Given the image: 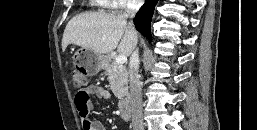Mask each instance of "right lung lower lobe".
<instances>
[{
	"mask_svg": "<svg viewBox=\"0 0 257 130\" xmlns=\"http://www.w3.org/2000/svg\"><path fill=\"white\" fill-rule=\"evenodd\" d=\"M158 0H148L137 13L134 23L138 31L151 41L150 23Z\"/></svg>",
	"mask_w": 257,
	"mask_h": 130,
	"instance_id": "obj_1",
	"label": "right lung lower lobe"
}]
</instances>
